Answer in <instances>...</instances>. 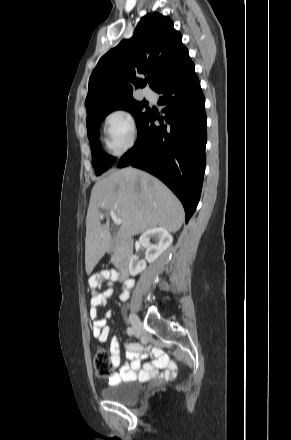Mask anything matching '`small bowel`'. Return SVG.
I'll return each instance as SVG.
<instances>
[{
  "instance_id": "small-bowel-1",
  "label": "small bowel",
  "mask_w": 291,
  "mask_h": 440,
  "mask_svg": "<svg viewBox=\"0 0 291 440\" xmlns=\"http://www.w3.org/2000/svg\"><path fill=\"white\" fill-rule=\"evenodd\" d=\"M119 279V274L116 271L105 270L100 274L91 277L88 281V288L91 293V307L89 310V316L93 320L92 334L99 342L104 343L107 341L110 327L106 324L105 318L99 317V307L102 306L105 301L111 296V290H106L103 293L99 292L101 286H111ZM134 286L133 281L125 282L122 288L120 298L127 300ZM110 316V314H109ZM128 351L126 354L127 361L122 364L120 355V344L117 337H113L110 343V364L114 371L107 377V382L110 386L119 384L120 382H126L136 379L146 378H169L174 374L176 364L167 355L163 354L159 348H150L144 346L139 348L140 353L151 350L157 355L156 359L152 362L145 364L141 369L139 353H135L134 346L129 344L127 346Z\"/></svg>"
}]
</instances>
